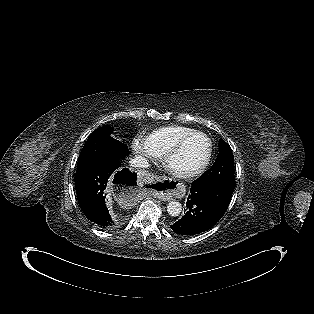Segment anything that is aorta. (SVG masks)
I'll list each match as a JSON object with an SVG mask.
<instances>
[{
    "instance_id": "1",
    "label": "aorta",
    "mask_w": 314,
    "mask_h": 314,
    "mask_svg": "<svg viewBox=\"0 0 314 314\" xmlns=\"http://www.w3.org/2000/svg\"><path fill=\"white\" fill-rule=\"evenodd\" d=\"M182 211V205L178 201H170L167 205V212L169 215L176 217Z\"/></svg>"
}]
</instances>
